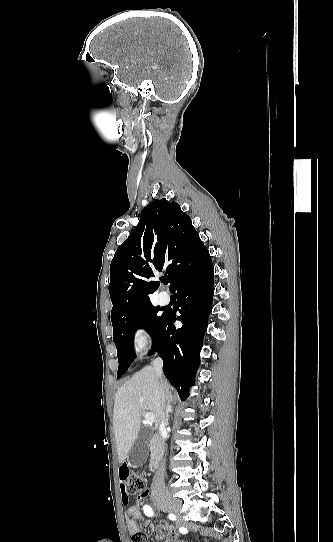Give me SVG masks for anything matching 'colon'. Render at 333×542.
Wrapping results in <instances>:
<instances>
[{"label":"colon","mask_w":333,"mask_h":542,"mask_svg":"<svg viewBox=\"0 0 333 542\" xmlns=\"http://www.w3.org/2000/svg\"><path fill=\"white\" fill-rule=\"evenodd\" d=\"M127 480H128V490L130 494H136L139 496L145 492L146 482H145L144 477H142L141 475L137 473L132 472L131 477H128ZM127 508L129 511L132 512L135 510L136 507L134 504L131 503L128 505ZM132 542H149V538H148V535L144 531H141V532L137 531L134 533L132 537Z\"/></svg>","instance_id":"colon-1"}]
</instances>
